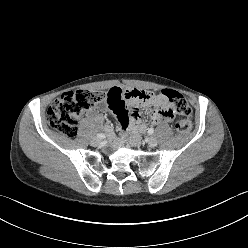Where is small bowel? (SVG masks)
I'll use <instances>...</instances> for the list:
<instances>
[{"label":"small bowel","instance_id":"c3829d8e","mask_svg":"<svg viewBox=\"0 0 248 248\" xmlns=\"http://www.w3.org/2000/svg\"><path fill=\"white\" fill-rule=\"evenodd\" d=\"M105 98L108 101L106 107L116 114L123 128L131 127L140 132L147 130V125L139 122L141 105L153 108L151 121L154 124L168 122L173 118V113L168 112L169 101L163 93H150L137 88L126 89L123 85H118L107 87ZM92 115H95L94 111ZM104 129L110 139L115 141L111 127L105 125Z\"/></svg>","mask_w":248,"mask_h":248}]
</instances>
